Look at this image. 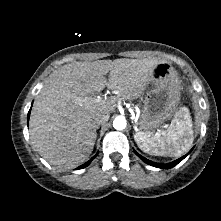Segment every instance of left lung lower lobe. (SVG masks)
<instances>
[{"instance_id":"1","label":"left lung lower lobe","mask_w":221,"mask_h":221,"mask_svg":"<svg viewBox=\"0 0 221 221\" xmlns=\"http://www.w3.org/2000/svg\"><path fill=\"white\" fill-rule=\"evenodd\" d=\"M192 150H190L186 155H184L183 157L168 163V164H162V163H156V162H152L146 158H144L143 156L139 155L137 152L136 155H138L146 164H149L151 166L157 167V168H172L174 166H176L178 163H180Z\"/></svg>"}]
</instances>
